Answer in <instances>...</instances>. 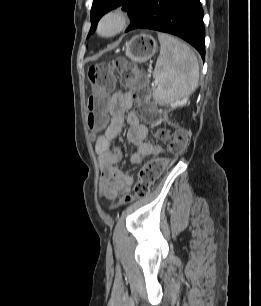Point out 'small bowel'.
<instances>
[{"label": "small bowel", "mask_w": 261, "mask_h": 306, "mask_svg": "<svg viewBox=\"0 0 261 306\" xmlns=\"http://www.w3.org/2000/svg\"><path fill=\"white\" fill-rule=\"evenodd\" d=\"M133 100L128 93L116 92L109 101L110 123L96 142V151L102 168L100 188L103 196L114 199L121 192H128L135 178L118 168L124 159L120 148L113 145V141L120 134L125 120L129 127L127 139L136 148L130 156L132 164H140L151 155L162 152V147L153 145L147 138L149 128L140 122L137 113L130 111Z\"/></svg>", "instance_id": "small-bowel-1"}]
</instances>
